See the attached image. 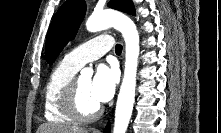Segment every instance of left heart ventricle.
Returning a JSON list of instances; mask_svg holds the SVG:
<instances>
[{
	"instance_id": "1",
	"label": "left heart ventricle",
	"mask_w": 221,
	"mask_h": 133,
	"mask_svg": "<svg viewBox=\"0 0 221 133\" xmlns=\"http://www.w3.org/2000/svg\"><path fill=\"white\" fill-rule=\"evenodd\" d=\"M91 78L81 77L78 81L79 105L82 112L88 114L93 112L99 103L93 98L91 93Z\"/></svg>"
}]
</instances>
